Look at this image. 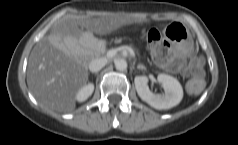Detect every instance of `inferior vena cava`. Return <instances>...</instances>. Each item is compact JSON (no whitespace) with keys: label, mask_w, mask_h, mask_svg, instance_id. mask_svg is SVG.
I'll return each instance as SVG.
<instances>
[{"label":"inferior vena cava","mask_w":238,"mask_h":145,"mask_svg":"<svg viewBox=\"0 0 238 145\" xmlns=\"http://www.w3.org/2000/svg\"><path fill=\"white\" fill-rule=\"evenodd\" d=\"M107 64L106 58H96L89 63V70L91 72L100 71Z\"/></svg>","instance_id":"602c4592"}]
</instances>
